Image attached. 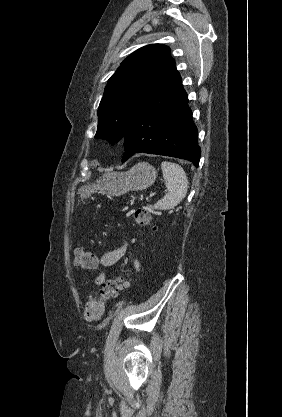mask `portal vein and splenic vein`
<instances>
[{
    "label": "portal vein and splenic vein",
    "instance_id": "portal-vein-and-splenic-vein-1",
    "mask_svg": "<svg viewBox=\"0 0 282 417\" xmlns=\"http://www.w3.org/2000/svg\"><path fill=\"white\" fill-rule=\"evenodd\" d=\"M155 196H157V193L151 192L150 194L145 195L144 200L149 201L152 197H155Z\"/></svg>",
    "mask_w": 282,
    "mask_h": 417
}]
</instances>
